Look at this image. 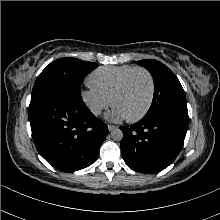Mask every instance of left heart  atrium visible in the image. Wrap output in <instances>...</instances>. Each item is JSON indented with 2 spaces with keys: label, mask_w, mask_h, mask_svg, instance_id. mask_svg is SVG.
Returning <instances> with one entry per match:
<instances>
[{
  "label": "left heart atrium",
  "mask_w": 220,
  "mask_h": 220,
  "mask_svg": "<svg viewBox=\"0 0 220 220\" xmlns=\"http://www.w3.org/2000/svg\"><path fill=\"white\" fill-rule=\"evenodd\" d=\"M106 117L111 121H119L127 118L126 114L117 106H114Z\"/></svg>",
  "instance_id": "1"
}]
</instances>
